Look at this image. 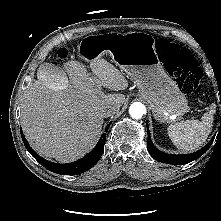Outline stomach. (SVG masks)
Instances as JSON below:
<instances>
[{
  "label": "stomach",
  "instance_id": "stomach-1",
  "mask_svg": "<svg viewBox=\"0 0 221 221\" xmlns=\"http://www.w3.org/2000/svg\"><path fill=\"white\" fill-rule=\"evenodd\" d=\"M154 38L143 32H111L83 40L80 57L91 63L109 55L115 65L133 78L139 94L160 123H174L187 112L188 102L165 72L154 48Z\"/></svg>",
  "mask_w": 221,
  "mask_h": 221
}]
</instances>
